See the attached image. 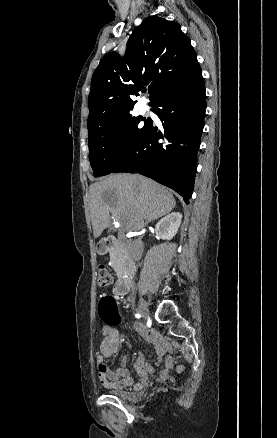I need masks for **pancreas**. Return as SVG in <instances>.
<instances>
[{
	"mask_svg": "<svg viewBox=\"0 0 277 438\" xmlns=\"http://www.w3.org/2000/svg\"><path fill=\"white\" fill-rule=\"evenodd\" d=\"M108 238H113V233H108ZM97 244H104L108 249L104 252V253H111L110 257L112 259V264L111 267L114 270H117L119 267H124L125 265V260L123 257V254L121 251H114L115 247L112 245V241H110L109 239H99L97 241Z\"/></svg>",
	"mask_w": 277,
	"mask_h": 438,
	"instance_id": "cf45deb5",
	"label": "pancreas"
}]
</instances>
